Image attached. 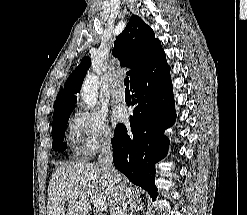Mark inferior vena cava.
<instances>
[{"label": "inferior vena cava", "instance_id": "inferior-vena-cava-1", "mask_svg": "<svg viewBox=\"0 0 247 215\" xmlns=\"http://www.w3.org/2000/svg\"><path fill=\"white\" fill-rule=\"evenodd\" d=\"M112 160L113 152L111 147V141L106 140L101 148V152L98 157V164L103 169L104 175L107 178V180L112 182L119 189L118 194H116L115 196L113 215H127L128 201L126 199L125 194L122 192L120 174L113 167Z\"/></svg>", "mask_w": 247, "mask_h": 215}]
</instances>
